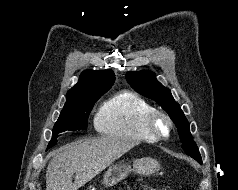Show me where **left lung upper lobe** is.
Listing matches in <instances>:
<instances>
[{
	"label": "left lung upper lobe",
	"mask_w": 238,
	"mask_h": 190,
	"mask_svg": "<svg viewBox=\"0 0 238 190\" xmlns=\"http://www.w3.org/2000/svg\"><path fill=\"white\" fill-rule=\"evenodd\" d=\"M127 80L139 94L156 101L176 124L182 148L192 158L202 163L201 155L190 133L188 120L179 104L175 102L170 89L157 81L151 71L127 72Z\"/></svg>",
	"instance_id": "left-lung-upper-lobe-1"
}]
</instances>
